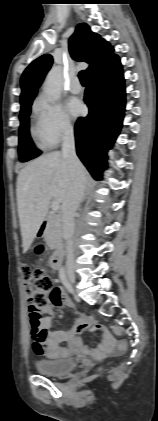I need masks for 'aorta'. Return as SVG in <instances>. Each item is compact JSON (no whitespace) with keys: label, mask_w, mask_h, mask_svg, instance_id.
Returning <instances> with one entry per match:
<instances>
[{"label":"aorta","mask_w":158,"mask_h":421,"mask_svg":"<svg viewBox=\"0 0 158 421\" xmlns=\"http://www.w3.org/2000/svg\"><path fill=\"white\" fill-rule=\"evenodd\" d=\"M63 74L60 67H53L47 74L43 90L52 100H58L62 93Z\"/></svg>","instance_id":"762f6f07"}]
</instances>
